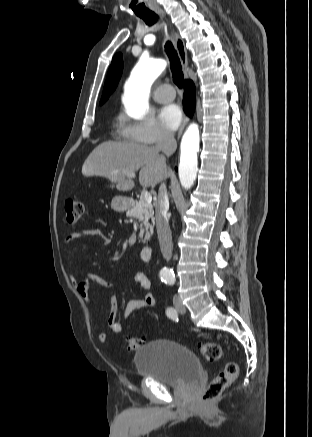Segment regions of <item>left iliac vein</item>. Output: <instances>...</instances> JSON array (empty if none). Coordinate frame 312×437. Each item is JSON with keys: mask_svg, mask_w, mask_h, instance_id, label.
<instances>
[{"mask_svg": "<svg viewBox=\"0 0 312 437\" xmlns=\"http://www.w3.org/2000/svg\"><path fill=\"white\" fill-rule=\"evenodd\" d=\"M173 303H174L175 309H176L179 313H181V314H184V313H185L186 309H185V307L183 306V304L181 303V301H180V299H179V296H178L177 294L174 295V297H173Z\"/></svg>", "mask_w": 312, "mask_h": 437, "instance_id": "obj_1", "label": "left iliac vein"}]
</instances>
